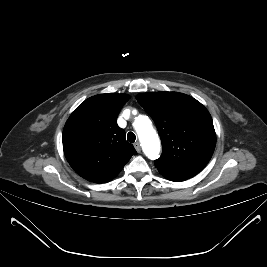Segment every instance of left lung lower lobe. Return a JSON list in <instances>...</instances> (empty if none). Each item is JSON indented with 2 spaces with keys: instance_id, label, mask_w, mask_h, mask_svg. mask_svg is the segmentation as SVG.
<instances>
[{
  "instance_id": "obj_1",
  "label": "left lung lower lobe",
  "mask_w": 267,
  "mask_h": 267,
  "mask_svg": "<svg viewBox=\"0 0 267 267\" xmlns=\"http://www.w3.org/2000/svg\"><path fill=\"white\" fill-rule=\"evenodd\" d=\"M158 171L160 172L161 175H163L165 178L171 181L180 182L189 179L188 177H185L183 175L177 174L175 172L166 169L158 168Z\"/></svg>"
}]
</instances>
